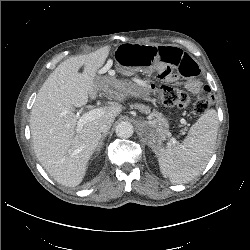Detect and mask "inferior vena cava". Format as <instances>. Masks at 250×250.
<instances>
[{"label":"inferior vena cava","instance_id":"1","mask_svg":"<svg viewBox=\"0 0 250 250\" xmlns=\"http://www.w3.org/2000/svg\"><path fill=\"white\" fill-rule=\"evenodd\" d=\"M113 121H114V120L109 119V120H105V121L101 122V123L99 124V131H100L101 133H106V132H108L109 129L111 128V125H112Z\"/></svg>","mask_w":250,"mask_h":250}]
</instances>
